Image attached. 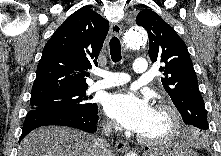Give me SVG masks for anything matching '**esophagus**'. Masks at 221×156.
<instances>
[{"label":"esophagus","mask_w":221,"mask_h":156,"mask_svg":"<svg viewBox=\"0 0 221 156\" xmlns=\"http://www.w3.org/2000/svg\"><path fill=\"white\" fill-rule=\"evenodd\" d=\"M110 31L114 36H120L122 34V27L118 23H112L110 25ZM116 149L120 153H124L129 150L128 143L123 140L116 141Z\"/></svg>","instance_id":"esophagus-1"}]
</instances>
